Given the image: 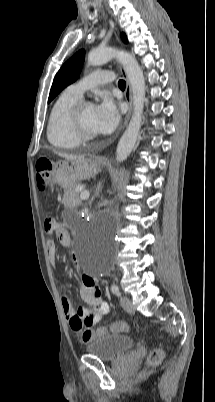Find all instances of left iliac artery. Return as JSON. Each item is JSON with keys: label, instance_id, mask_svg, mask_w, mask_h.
<instances>
[{"label": "left iliac artery", "instance_id": "1", "mask_svg": "<svg viewBox=\"0 0 215 402\" xmlns=\"http://www.w3.org/2000/svg\"><path fill=\"white\" fill-rule=\"evenodd\" d=\"M111 291H112L116 296H120V295H121V293H120L119 288H118L117 285H112V286H111Z\"/></svg>", "mask_w": 215, "mask_h": 402}]
</instances>
